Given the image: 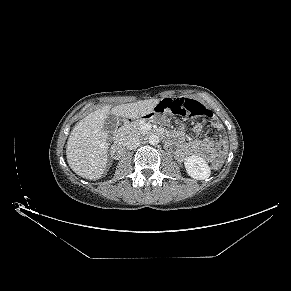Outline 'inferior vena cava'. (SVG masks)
Wrapping results in <instances>:
<instances>
[{
	"mask_svg": "<svg viewBox=\"0 0 291 291\" xmlns=\"http://www.w3.org/2000/svg\"><path fill=\"white\" fill-rule=\"evenodd\" d=\"M140 144V139L138 137L132 136L126 141V148L129 150H133L139 147Z\"/></svg>",
	"mask_w": 291,
	"mask_h": 291,
	"instance_id": "obj_1",
	"label": "inferior vena cava"
}]
</instances>
